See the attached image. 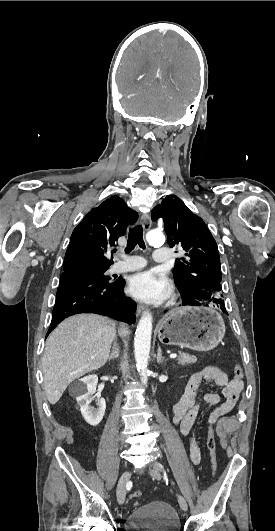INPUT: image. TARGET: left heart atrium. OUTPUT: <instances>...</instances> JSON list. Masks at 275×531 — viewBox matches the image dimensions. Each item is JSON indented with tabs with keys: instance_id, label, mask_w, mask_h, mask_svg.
I'll return each mask as SVG.
<instances>
[{
	"instance_id": "obj_1",
	"label": "left heart atrium",
	"mask_w": 275,
	"mask_h": 531,
	"mask_svg": "<svg viewBox=\"0 0 275 531\" xmlns=\"http://www.w3.org/2000/svg\"><path fill=\"white\" fill-rule=\"evenodd\" d=\"M128 290L135 298L156 301L163 298L168 290L167 278L154 269H144L131 275Z\"/></svg>"
}]
</instances>
